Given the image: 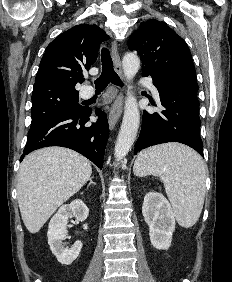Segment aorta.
<instances>
[{"label": "aorta", "mask_w": 232, "mask_h": 282, "mask_svg": "<svg viewBox=\"0 0 232 282\" xmlns=\"http://www.w3.org/2000/svg\"><path fill=\"white\" fill-rule=\"evenodd\" d=\"M122 68L127 81L133 79L140 68V59L135 53L128 52L122 59ZM140 124V112L136 98L132 95L130 88L125 100L124 116L121 129L115 144V158L117 161L124 158L131 150L136 139Z\"/></svg>", "instance_id": "obj_1"}]
</instances>
